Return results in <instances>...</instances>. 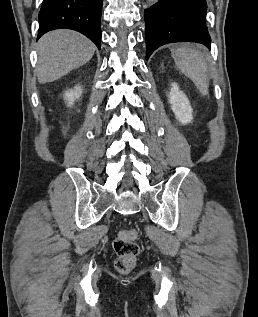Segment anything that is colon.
<instances>
[{
    "instance_id": "1",
    "label": "colon",
    "mask_w": 258,
    "mask_h": 317,
    "mask_svg": "<svg viewBox=\"0 0 258 317\" xmlns=\"http://www.w3.org/2000/svg\"><path fill=\"white\" fill-rule=\"evenodd\" d=\"M113 249L117 256L116 268L120 271L130 270L140 252L137 231L133 228L122 229L113 242Z\"/></svg>"
}]
</instances>
